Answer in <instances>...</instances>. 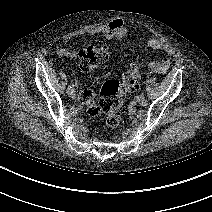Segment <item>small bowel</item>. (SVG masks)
<instances>
[{
	"mask_svg": "<svg viewBox=\"0 0 212 212\" xmlns=\"http://www.w3.org/2000/svg\"><path fill=\"white\" fill-rule=\"evenodd\" d=\"M103 34L104 37L110 41L114 42L121 39L126 35V28L120 19H114L110 22L100 25L88 32V35ZM147 47L153 50H162L166 55L172 56L175 53L174 47L158 38H150L147 41ZM57 54L61 57H75L77 52L70 51L66 48L60 47L57 49ZM170 61L168 58H164L159 61H152L148 64V68L151 73L164 74L168 70ZM89 89L86 88L85 84L82 85V90L80 94V99L83 100Z\"/></svg>",
	"mask_w": 212,
	"mask_h": 212,
	"instance_id": "c3829d8e",
	"label": "small bowel"
}]
</instances>
